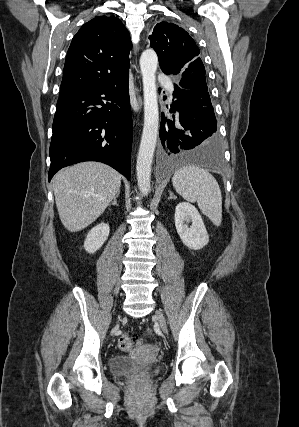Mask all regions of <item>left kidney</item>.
Listing matches in <instances>:
<instances>
[{
	"label": "left kidney",
	"mask_w": 299,
	"mask_h": 427,
	"mask_svg": "<svg viewBox=\"0 0 299 427\" xmlns=\"http://www.w3.org/2000/svg\"><path fill=\"white\" fill-rule=\"evenodd\" d=\"M175 227L181 241L189 249L200 250L209 242V236L201 215L192 204L181 202L175 210ZM191 226L188 227V223Z\"/></svg>",
	"instance_id": "5707ae66"
}]
</instances>
